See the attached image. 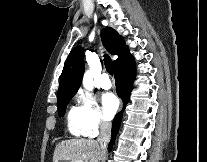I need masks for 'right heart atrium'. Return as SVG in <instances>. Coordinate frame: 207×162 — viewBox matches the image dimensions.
<instances>
[{
    "label": "right heart atrium",
    "instance_id": "1",
    "mask_svg": "<svg viewBox=\"0 0 207 162\" xmlns=\"http://www.w3.org/2000/svg\"><path fill=\"white\" fill-rule=\"evenodd\" d=\"M79 101L84 133L86 136L93 137L99 133L101 128L108 126V121L104 118L97 101L90 95L81 93Z\"/></svg>",
    "mask_w": 207,
    "mask_h": 162
}]
</instances>
